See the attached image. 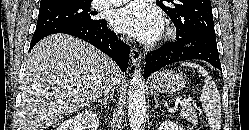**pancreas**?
I'll return each instance as SVG.
<instances>
[{"label": "pancreas", "instance_id": "cf45deb5", "mask_svg": "<svg viewBox=\"0 0 249 130\" xmlns=\"http://www.w3.org/2000/svg\"><path fill=\"white\" fill-rule=\"evenodd\" d=\"M178 117L183 118L194 125L198 124L197 113L191 106L181 108Z\"/></svg>", "mask_w": 249, "mask_h": 130}]
</instances>
